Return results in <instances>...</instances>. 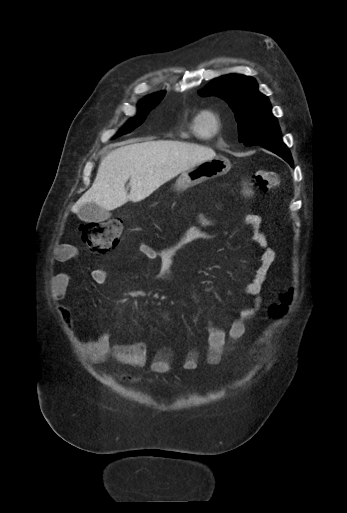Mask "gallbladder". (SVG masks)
Wrapping results in <instances>:
<instances>
[{
	"label": "gallbladder",
	"instance_id": "1",
	"mask_svg": "<svg viewBox=\"0 0 347 513\" xmlns=\"http://www.w3.org/2000/svg\"><path fill=\"white\" fill-rule=\"evenodd\" d=\"M77 215L84 222H100L108 219L111 214L104 208L90 203L83 205Z\"/></svg>",
	"mask_w": 347,
	"mask_h": 513
}]
</instances>
